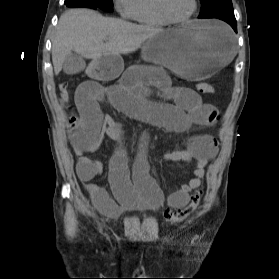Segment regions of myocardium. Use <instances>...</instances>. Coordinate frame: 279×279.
<instances>
[{
    "label": "myocardium",
    "mask_w": 279,
    "mask_h": 279,
    "mask_svg": "<svg viewBox=\"0 0 279 279\" xmlns=\"http://www.w3.org/2000/svg\"><path fill=\"white\" fill-rule=\"evenodd\" d=\"M157 8L160 13V15L169 23L173 24H181L189 21L192 19V17L196 14L198 10V0H193V7L192 10L188 13V15L181 17V18H176L173 17L167 10L166 5H165V0H156Z\"/></svg>",
    "instance_id": "f54148a6"
}]
</instances>
